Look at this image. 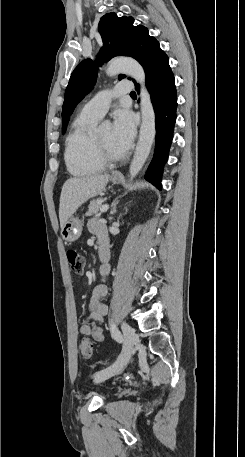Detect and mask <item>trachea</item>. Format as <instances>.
<instances>
[{
	"mask_svg": "<svg viewBox=\"0 0 245 457\" xmlns=\"http://www.w3.org/2000/svg\"><path fill=\"white\" fill-rule=\"evenodd\" d=\"M135 94H136V92H130V95H135Z\"/></svg>",
	"mask_w": 245,
	"mask_h": 457,
	"instance_id": "1",
	"label": "trachea"
}]
</instances>
